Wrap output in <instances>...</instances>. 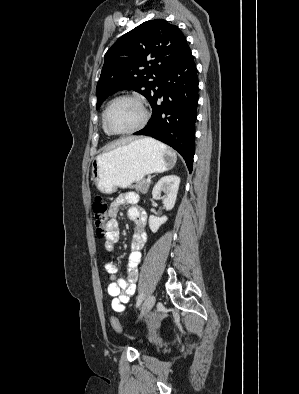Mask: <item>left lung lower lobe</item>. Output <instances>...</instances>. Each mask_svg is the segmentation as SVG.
Masks as SVG:
<instances>
[{"mask_svg":"<svg viewBox=\"0 0 299 394\" xmlns=\"http://www.w3.org/2000/svg\"><path fill=\"white\" fill-rule=\"evenodd\" d=\"M149 102L152 117L145 128L134 134L151 136L174 148L184 158L191 173L195 152L198 78L188 44L160 76Z\"/></svg>","mask_w":299,"mask_h":394,"instance_id":"obj_1","label":"left lung lower lobe"}]
</instances>
